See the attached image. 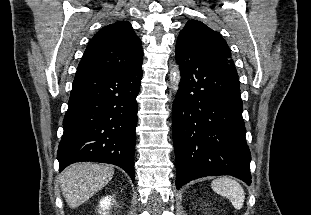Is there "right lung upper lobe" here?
Here are the masks:
<instances>
[{
	"instance_id": "obj_1",
	"label": "right lung upper lobe",
	"mask_w": 311,
	"mask_h": 215,
	"mask_svg": "<svg viewBox=\"0 0 311 215\" xmlns=\"http://www.w3.org/2000/svg\"><path fill=\"white\" fill-rule=\"evenodd\" d=\"M142 62L141 40L129 22L118 21L94 35L77 69L129 71L141 66Z\"/></svg>"
}]
</instances>
